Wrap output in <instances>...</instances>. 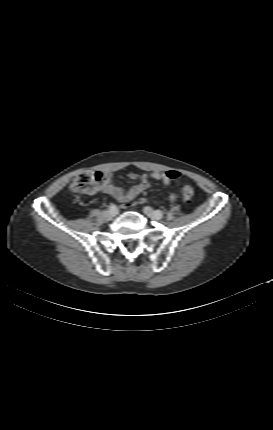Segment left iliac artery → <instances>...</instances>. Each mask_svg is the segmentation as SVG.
Masks as SVG:
<instances>
[{
  "label": "left iliac artery",
  "mask_w": 273,
  "mask_h": 430,
  "mask_svg": "<svg viewBox=\"0 0 273 430\" xmlns=\"http://www.w3.org/2000/svg\"><path fill=\"white\" fill-rule=\"evenodd\" d=\"M157 212H158V214H159L160 216H162V215H163V213H162L160 210H157Z\"/></svg>",
  "instance_id": "44dca946"
}]
</instances>
